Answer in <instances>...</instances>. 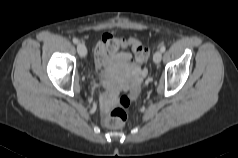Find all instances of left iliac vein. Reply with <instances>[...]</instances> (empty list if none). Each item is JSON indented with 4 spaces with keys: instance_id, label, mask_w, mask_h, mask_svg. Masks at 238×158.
Listing matches in <instances>:
<instances>
[{
    "instance_id": "left-iliac-vein-1",
    "label": "left iliac vein",
    "mask_w": 238,
    "mask_h": 158,
    "mask_svg": "<svg viewBox=\"0 0 238 158\" xmlns=\"http://www.w3.org/2000/svg\"><path fill=\"white\" fill-rule=\"evenodd\" d=\"M161 59H162L161 51H156L153 55V61L158 64L161 61Z\"/></svg>"
}]
</instances>
